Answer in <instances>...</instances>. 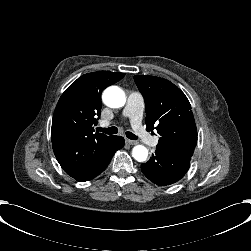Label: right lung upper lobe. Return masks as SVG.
<instances>
[{
    "mask_svg": "<svg viewBox=\"0 0 251 251\" xmlns=\"http://www.w3.org/2000/svg\"><path fill=\"white\" fill-rule=\"evenodd\" d=\"M125 76L97 71L74 81L60 97L52 120L54 154L71 177H76L101 161L115 136L93 133L101 111V92Z\"/></svg>",
    "mask_w": 251,
    "mask_h": 251,
    "instance_id": "1",
    "label": "right lung upper lobe"
}]
</instances>
